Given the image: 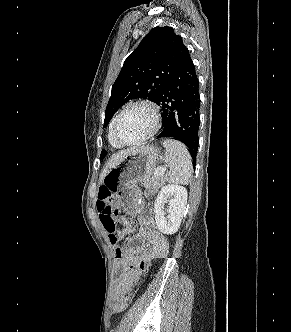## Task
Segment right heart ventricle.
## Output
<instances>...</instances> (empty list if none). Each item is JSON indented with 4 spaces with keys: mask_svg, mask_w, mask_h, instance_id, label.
I'll list each match as a JSON object with an SVG mask.
<instances>
[{
    "mask_svg": "<svg viewBox=\"0 0 291 332\" xmlns=\"http://www.w3.org/2000/svg\"><path fill=\"white\" fill-rule=\"evenodd\" d=\"M114 121H115V118L111 121L110 123V126H109V132H108V139H109V142L110 144L114 147V148H122L123 145L120 144L114 137V134H113V125H114Z\"/></svg>",
    "mask_w": 291,
    "mask_h": 332,
    "instance_id": "right-heart-ventricle-1",
    "label": "right heart ventricle"
}]
</instances>
